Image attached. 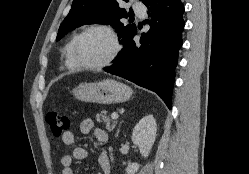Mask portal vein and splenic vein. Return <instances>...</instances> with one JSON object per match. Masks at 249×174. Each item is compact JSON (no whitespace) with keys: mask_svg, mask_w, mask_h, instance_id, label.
I'll return each mask as SVG.
<instances>
[{"mask_svg":"<svg viewBox=\"0 0 249 174\" xmlns=\"http://www.w3.org/2000/svg\"><path fill=\"white\" fill-rule=\"evenodd\" d=\"M118 117H119V115L117 113H112L111 114V118L114 119V120L118 119Z\"/></svg>","mask_w":249,"mask_h":174,"instance_id":"portal-vein-and-splenic-vein-1","label":"portal vein and splenic vein"}]
</instances>
